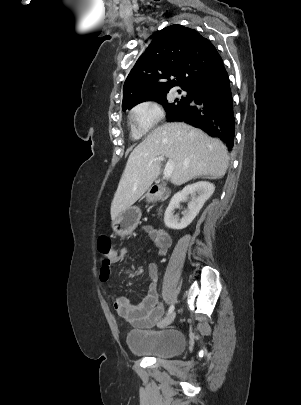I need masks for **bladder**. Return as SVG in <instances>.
I'll list each match as a JSON object with an SVG mask.
<instances>
[{
    "instance_id": "bladder-1",
    "label": "bladder",
    "mask_w": 301,
    "mask_h": 405,
    "mask_svg": "<svg viewBox=\"0 0 301 405\" xmlns=\"http://www.w3.org/2000/svg\"><path fill=\"white\" fill-rule=\"evenodd\" d=\"M126 343L131 353L137 356L168 359L178 356L185 348L183 334L173 328L161 330H132Z\"/></svg>"
}]
</instances>
